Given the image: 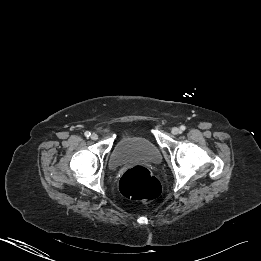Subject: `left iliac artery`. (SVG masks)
Instances as JSON below:
<instances>
[{
	"label": "left iliac artery",
	"instance_id": "44dca946",
	"mask_svg": "<svg viewBox=\"0 0 261 261\" xmlns=\"http://www.w3.org/2000/svg\"><path fill=\"white\" fill-rule=\"evenodd\" d=\"M186 127L184 125L180 126L181 131H185Z\"/></svg>",
	"mask_w": 261,
	"mask_h": 261
}]
</instances>
